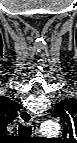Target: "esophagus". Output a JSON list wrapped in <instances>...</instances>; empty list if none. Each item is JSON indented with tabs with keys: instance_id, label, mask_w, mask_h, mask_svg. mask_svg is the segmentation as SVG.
Wrapping results in <instances>:
<instances>
[{
	"instance_id": "1",
	"label": "esophagus",
	"mask_w": 77,
	"mask_h": 143,
	"mask_svg": "<svg viewBox=\"0 0 77 143\" xmlns=\"http://www.w3.org/2000/svg\"><path fill=\"white\" fill-rule=\"evenodd\" d=\"M19 121L25 125L30 126L34 122V116L30 111H21L19 114Z\"/></svg>"
}]
</instances>
